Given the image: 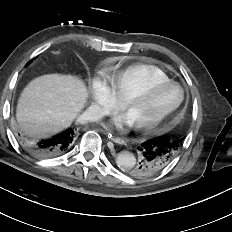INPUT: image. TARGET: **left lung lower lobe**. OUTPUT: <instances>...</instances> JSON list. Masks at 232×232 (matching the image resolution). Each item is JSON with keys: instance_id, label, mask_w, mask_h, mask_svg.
Segmentation results:
<instances>
[{"instance_id": "0a47b994", "label": "left lung lower lobe", "mask_w": 232, "mask_h": 232, "mask_svg": "<svg viewBox=\"0 0 232 232\" xmlns=\"http://www.w3.org/2000/svg\"><path fill=\"white\" fill-rule=\"evenodd\" d=\"M182 140L183 138L174 140L163 135L142 143L138 147L139 163L131 170V175L145 177L162 170L176 155Z\"/></svg>"}]
</instances>
